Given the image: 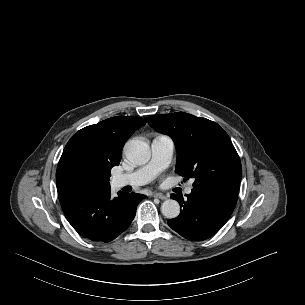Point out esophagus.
Returning <instances> with one entry per match:
<instances>
[{
    "label": "esophagus",
    "instance_id": "esophagus-1",
    "mask_svg": "<svg viewBox=\"0 0 305 305\" xmlns=\"http://www.w3.org/2000/svg\"><path fill=\"white\" fill-rule=\"evenodd\" d=\"M153 196H154L155 198H159V199H161V200H166V199L168 198L167 195L162 194V193H154Z\"/></svg>",
    "mask_w": 305,
    "mask_h": 305
}]
</instances>
